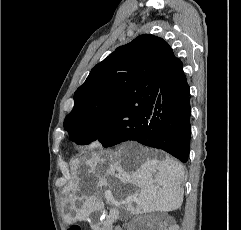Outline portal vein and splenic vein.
I'll return each instance as SVG.
<instances>
[{"label":"portal vein and splenic vein","instance_id":"1","mask_svg":"<svg viewBox=\"0 0 241 230\" xmlns=\"http://www.w3.org/2000/svg\"><path fill=\"white\" fill-rule=\"evenodd\" d=\"M105 197H106L108 200H112V199H113V197L111 196L110 193L105 194ZM129 199H131V200H136V197H131V198H129Z\"/></svg>","mask_w":241,"mask_h":230}]
</instances>
